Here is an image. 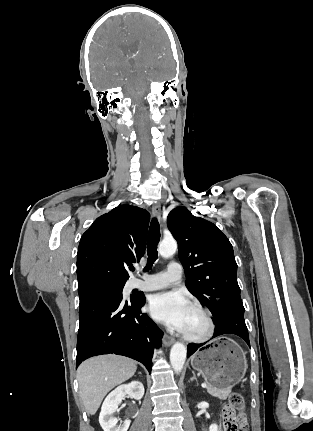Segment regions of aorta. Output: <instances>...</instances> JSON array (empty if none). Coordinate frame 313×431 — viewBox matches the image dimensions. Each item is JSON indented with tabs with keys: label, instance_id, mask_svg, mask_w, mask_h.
Listing matches in <instances>:
<instances>
[{
	"label": "aorta",
	"instance_id": "aorta-1",
	"mask_svg": "<svg viewBox=\"0 0 313 431\" xmlns=\"http://www.w3.org/2000/svg\"><path fill=\"white\" fill-rule=\"evenodd\" d=\"M177 243L174 239H164L159 245V253L164 258H169L175 254ZM187 349L184 344L176 342L170 351V363L174 371L179 374L186 360Z\"/></svg>",
	"mask_w": 313,
	"mask_h": 431
}]
</instances>
